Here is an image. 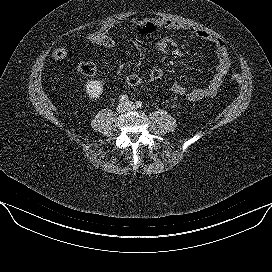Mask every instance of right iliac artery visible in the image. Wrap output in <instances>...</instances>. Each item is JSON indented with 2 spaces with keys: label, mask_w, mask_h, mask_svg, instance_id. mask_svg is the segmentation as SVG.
I'll use <instances>...</instances> for the list:
<instances>
[{
  "label": "right iliac artery",
  "mask_w": 272,
  "mask_h": 272,
  "mask_svg": "<svg viewBox=\"0 0 272 272\" xmlns=\"http://www.w3.org/2000/svg\"><path fill=\"white\" fill-rule=\"evenodd\" d=\"M128 100H129V98H128L127 95H121V96L119 97V101H120L121 103H127Z\"/></svg>",
  "instance_id": "82829eb1"
}]
</instances>
